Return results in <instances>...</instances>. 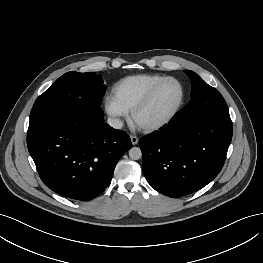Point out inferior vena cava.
Here are the masks:
<instances>
[{"instance_id": "602c4592", "label": "inferior vena cava", "mask_w": 263, "mask_h": 263, "mask_svg": "<svg viewBox=\"0 0 263 263\" xmlns=\"http://www.w3.org/2000/svg\"><path fill=\"white\" fill-rule=\"evenodd\" d=\"M107 123L115 129H121L123 126L122 121L116 118H108Z\"/></svg>"}]
</instances>
